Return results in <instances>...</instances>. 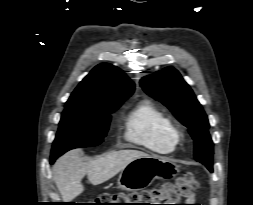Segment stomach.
<instances>
[{
	"mask_svg": "<svg viewBox=\"0 0 253 205\" xmlns=\"http://www.w3.org/2000/svg\"><path fill=\"white\" fill-rule=\"evenodd\" d=\"M178 165L158 156L139 157L131 161L120 173L118 188L127 191L142 190L155 179H169L176 176Z\"/></svg>",
	"mask_w": 253,
	"mask_h": 205,
	"instance_id": "1",
	"label": "stomach"
}]
</instances>
